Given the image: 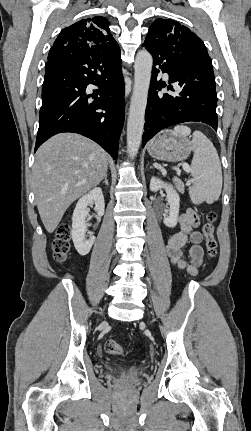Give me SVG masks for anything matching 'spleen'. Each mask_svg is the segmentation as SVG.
I'll return each mask as SVG.
<instances>
[{
  "instance_id": "obj_1",
  "label": "spleen",
  "mask_w": 251,
  "mask_h": 431,
  "mask_svg": "<svg viewBox=\"0 0 251 431\" xmlns=\"http://www.w3.org/2000/svg\"><path fill=\"white\" fill-rule=\"evenodd\" d=\"M173 132L182 136L190 135L191 129L177 125ZM192 149L194 151L191 174L194 184L189 190L194 204L218 200L222 190V169L218 153L212 142L200 131L193 132Z\"/></svg>"
}]
</instances>
